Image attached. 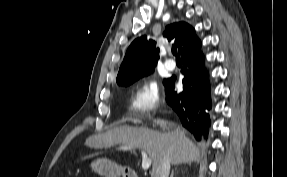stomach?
Instances as JSON below:
<instances>
[{
  "label": "stomach",
  "instance_id": "1",
  "mask_svg": "<svg viewBox=\"0 0 287 177\" xmlns=\"http://www.w3.org/2000/svg\"><path fill=\"white\" fill-rule=\"evenodd\" d=\"M90 166L94 172L103 177H125V168L106 158H98Z\"/></svg>",
  "mask_w": 287,
  "mask_h": 177
}]
</instances>
